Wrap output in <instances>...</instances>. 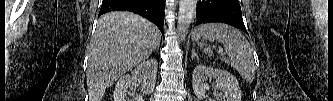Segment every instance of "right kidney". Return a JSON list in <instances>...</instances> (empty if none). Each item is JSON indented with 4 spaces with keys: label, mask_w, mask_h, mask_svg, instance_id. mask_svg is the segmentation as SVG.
Wrapping results in <instances>:
<instances>
[{
    "label": "right kidney",
    "mask_w": 333,
    "mask_h": 101,
    "mask_svg": "<svg viewBox=\"0 0 333 101\" xmlns=\"http://www.w3.org/2000/svg\"><path fill=\"white\" fill-rule=\"evenodd\" d=\"M157 68V60L150 59L137 66L132 71V75H126L119 79L114 90V101H127L128 88L135 87L137 80L142 82L146 94L152 93L155 87ZM134 100L141 101L139 97H135Z\"/></svg>",
    "instance_id": "ca27d5eb"
}]
</instances>
